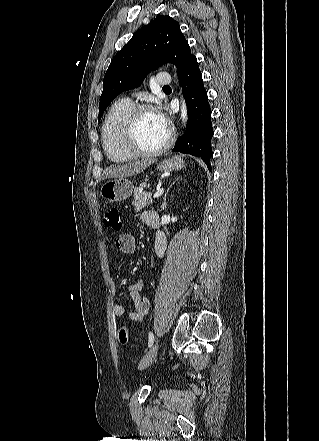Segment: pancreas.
<instances>
[{"label": "pancreas", "instance_id": "cf45deb5", "mask_svg": "<svg viewBox=\"0 0 319 441\" xmlns=\"http://www.w3.org/2000/svg\"><path fill=\"white\" fill-rule=\"evenodd\" d=\"M145 187H148V185L146 183H142L134 191L133 207L136 212L142 210L152 203L151 193L143 191Z\"/></svg>", "mask_w": 319, "mask_h": 441}]
</instances>
